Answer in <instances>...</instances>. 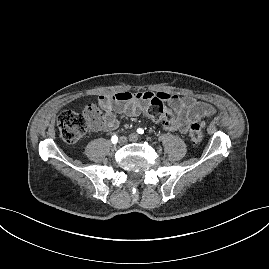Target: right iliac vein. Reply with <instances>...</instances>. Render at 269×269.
<instances>
[{"mask_svg": "<svg viewBox=\"0 0 269 269\" xmlns=\"http://www.w3.org/2000/svg\"><path fill=\"white\" fill-rule=\"evenodd\" d=\"M125 143H126L125 138H124V137H121V138L119 139L118 145H119V146H122V145L125 144Z\"/></svg>", "mask_w": 269, "mask_h": 269, "instance_id": "right-iliac-vein-1", "label": "right iliac vein"}]
</instances>
